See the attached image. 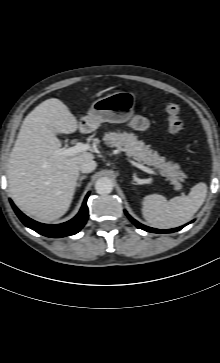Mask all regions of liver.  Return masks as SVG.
<instances>
[{
    "instance_id": "liver-1",
    "label": "liver",
    "mask_w": 220,
    "mask_h": 363,
    "mask_svg": "<svg viewBox=\"0 0 220 363\" xmlns=\"http://www.w3.org/2000/svg\"><path fill=\"white\" fill-rule=\"evenodd\" d=\"M80 127L59 99L35 107L24 119L8 163L9 193L26 214L43 222L59 219L69 209L79 164L94 159L90 152L56 155L61 148L57 133L71 134Z\"/></svg>"
}]
</instances>
